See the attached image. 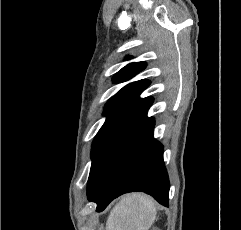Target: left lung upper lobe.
<instances>
[{
  "label": "left lung upper lobe",
  "mask_w": 241,
  "mask_h": 230,
  "mask_svg": "<svg viewBox=\"0 0 241 230\" xmlns=\"http://www.w3.org/2000/svg\"><path fill=\"white\" fill-rule=\"evenodd\" d=\"M145 66V62L130 63L114 75L113 81L115 83L127 81L142 71ZM149 84L150 81L145 79L132 82L109 99L103 112L107 119L93 141L91 156H94L105 142L136 119L153 103L152 97L139 98L141 92Z\"/></svg>",
  "instance_id": "left-lung-upper-lobe-1"
}]
</instances>
